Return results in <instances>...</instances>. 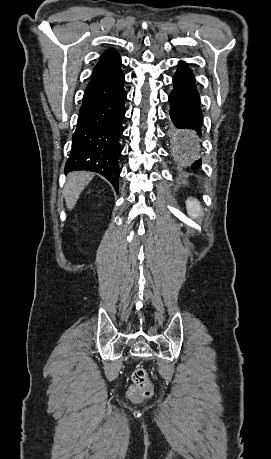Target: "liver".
Returning <instances> with one entry per match:
<instances>
[{
    "mask_svg": "<svg viewBox=\"0 0 271 459\" xmlns=\"http://www.w3.org/2000/svg\"><path fill=\"white\" fill-rule=\"evenodd\" d=\"M93 178L92 172H70L64 188V198L68 210L74 208L81 192Z\"/></svg>",
    "mask_w": 271,
    "mask_h": 459,
    "instance_id": "6515ba94",
    "label": "liver"
}]
</instances>
